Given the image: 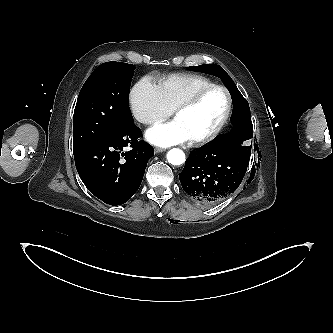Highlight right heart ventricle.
<instances>
[{
    "label": "right heart ventricle",
    "mask_w": 333,
    "mask_h": 333,
    "mask_svg": "<svg viewBox=\"0 0 333 333\" xmlns=\"http://www.w3.org/2000/svg\"><path fill=\"white\" fill-rule=\"evenodd\" d=\"M214 84L211 79L200 74L176 73L159 81L161 94L172 111L184 100L203 87Z\"/></svg>",
    "instance_id": "right-heart-ventricle-1"
}]
</instances>
